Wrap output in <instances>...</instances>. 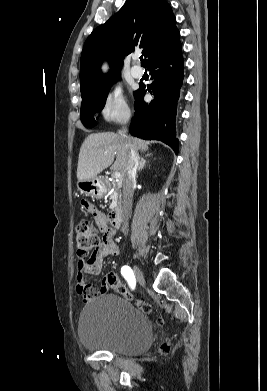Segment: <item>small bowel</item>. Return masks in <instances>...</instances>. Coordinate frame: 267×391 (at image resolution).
Wrapping results in <instances>:
<instances>
[{
	"label": "small bowel",
	"mask_w": 267,
	"mask_h": 391,
	"mask_svg": "<svg viewBox=\"0 0 267 391\" xmlns=\"http://www.w3.org/2000/svg\"><path fill=\"white\" fill-rule=\"evenodd\" d=\"M81 206L92 216L94 223L104 232V238L99 248L88 259L80 260L77 266V292L85 301H90L96 295L104 294L108 291L110 288L108 282L110 273L104 276L100 287L89 284L86 275H99L102 272L104 259L109 256L119 255L120 249L114 240V232L106 227L107 220L104 213L86 200L81 202Z\"/></svg>",
	"instance_id": "1"
}]
</instances>
